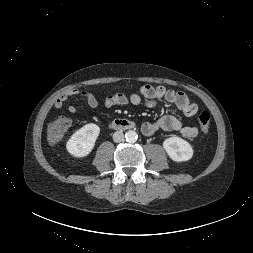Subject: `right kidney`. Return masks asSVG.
<instances>
[{"instance_id":"1","label":"right kidney","mask_w":253,"mask_h":253,"mask_svg":"<svg viewBox=\"0 0 253 253\" xmlns=\"http://www.w3.org/2000/svg\"><path fill=\"white\" fill-rule=\"evenodd\" d=\"M100 128L94 123L84 125L77 130L66 144L67 151L75 157H85L94 148Z\"/></svg>"}]
</instances>
